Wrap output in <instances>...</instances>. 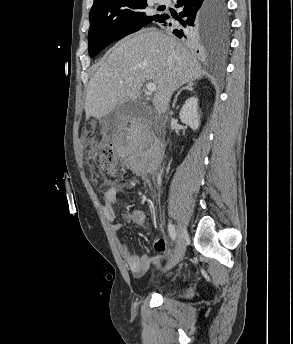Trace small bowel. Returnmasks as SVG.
Listing matches in <instances>:
<instances>
[{
    "label": "small bowel",
    "instance_id": "small-bowel-1",
    "mask_svg": "<svg viewBox=\"0 0 293 344\" xmlns=\"http://www.w3.org/2000/svg\"><path fill=\"white\" fill-rule=\"evenodd\" d=\"M121 190L120 184L111 185L104 195V215L106 220L111 224V231L114 235L118 250L128 266L130 272L135 278L142 277L151 265L159 266L164 260V254L168 250V242L165 237H159L154 242L156 251L162 253L150 256L148 254L135 255L131 252L124 240L118 235L122 224L116 221V212L114 205L118 201L119 192ZM141 217L136 219L141 221Z\"/></svg>",
    "mask_w": 293,
    "mask_h": 344
}]
</instances>
